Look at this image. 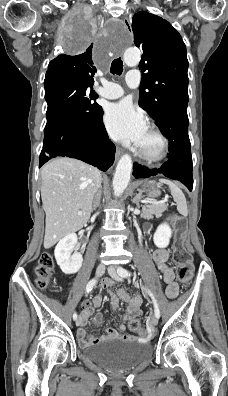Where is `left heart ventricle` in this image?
<instances>
[{
	"label": "left heart ventricle",
	"mask_w": 228,
	"mask_h": 396,
	"mask_svg": "<svg viewBox=\"0 0 228 396\" xmlns=\"http://www.w3.org/2000/svg\"><path fill=\"white\" fill-rule=\"evenodd\" d=\"M159 146V139L149 130L146 131L144 137L139 144V148L148 153L156 152L159 149Z\"/></svg>",
	"instance_id": "left-heart-ventricle-1"
}]
</instances>
